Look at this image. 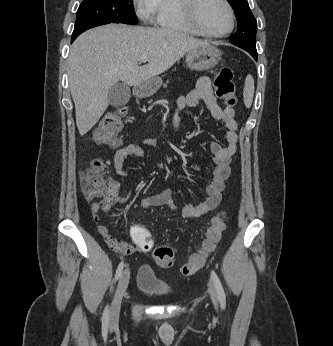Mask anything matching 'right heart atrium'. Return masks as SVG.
Returning <instances> with one entry per match:
<instances>
[{
    "label": "right heart atrium",
    "instance_id": "d8ad5b80",
    "mask_svg": "<svg viewBox=\"0 0 333 346\" xmlns=\"http://www.w3.org/2000/svg\"><path fill=\"white\" fill-rule=\"evenodd\" d=\"M138 17L145 22H153L160 8L161 0H133Z\"/></svg>",
    "mask_w": 333,
    "mask_h": 346
}]
</instances>
